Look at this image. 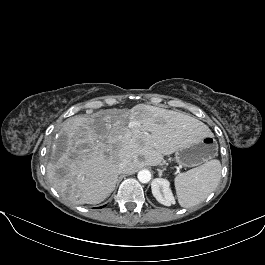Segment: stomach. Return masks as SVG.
I'll return each instance as SVG.
<instances>
[{
  "label": "stomach",
  "instance_id": "1",
  "mask_svg": "<svg viewBox=\"0 0 265 265\" xmlns=\"http://www.w3.org/2000/svg\"><path fill=\"white\" fill-rule=\"evenodd\" d=\"M212 136H204L197 141L188 142L175 151V160L184 167H195L211 159L216 152Z\"/></svg>",
  "mask_w": 265,
  "mask_h": 265
}]
</instances>
